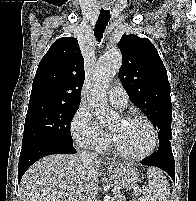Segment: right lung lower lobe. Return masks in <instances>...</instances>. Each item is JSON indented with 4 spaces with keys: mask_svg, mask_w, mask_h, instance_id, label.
I'll use <instances>...</instances> for the list:
<instances>
[{
    "mask_svg": "<svg viewBox=\"0 0 196 201\" xmlns=\"http://www.w3.org/2000/svg\"><path fill=\"white\" fill-rule=\"evenodd\" d=\"M57 153L74 154L76 150L73 145L48 140H37L22 146L18 165V181L34 162L44 156Z\"/></svg>",
    "mask_w": 196,
    "mask_h": 201,
    "instance_id": "1",
    "label": "right lung lower lobe"
}]
</instances>
